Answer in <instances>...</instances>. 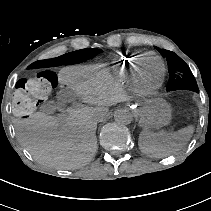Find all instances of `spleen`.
<instances>
[{
	"label": "spleen",
	"instance_id": "1",
	"mask_svg": "<svg viewBox=\"0 0 211 211\" xmlns=\"http://www.w3.org/2000/svg\"><path fill=\"white\" fill-rule=\"evenodd\" d=\"M194 132L193 126L182 128L176 132H152L143 129L139 135L138 145L141 152L149 157H165L187 144Z\"/></svg>",
	"mask_w": 211,
	"mask_h": 211
}]
</instances>
